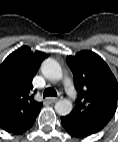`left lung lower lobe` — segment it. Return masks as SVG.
Segmentation results:
<instances>
[{"label":"left lung lower lobe","instance_id":"0a47b994","mask_svg":"<svg viewBox=\"0 0 118 142\" xmlns=\"http://www.w3.org/2000/svg\"><path fill=\"white\" fill-rule=\"evenodd\" d=\"M61 123L65 130L72 136L84 137L93 134L88 131L83 125L70 118L69 116L61 117Z\"/></svg>","mask_w":118,"mask_h":142}]
</instances>
